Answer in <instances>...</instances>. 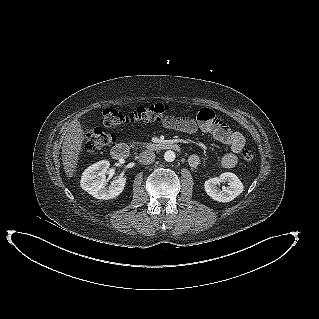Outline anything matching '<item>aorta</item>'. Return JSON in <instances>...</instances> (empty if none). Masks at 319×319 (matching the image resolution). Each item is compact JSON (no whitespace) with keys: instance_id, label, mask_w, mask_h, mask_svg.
<instances>
[{"instance_id":"1","label":"aorta","mask_w":319,"mask_h":319,"mask_svg":"<svg viewBox=\"0 0 319 319\" xmlns=\"http://www.w3.org/2000/svg\"><path fill=\"white\" fill-rule=\"evenodd\" d=\"M176 158V154L175 152L168 150L164 153V159L167 162H173Z\"/></svg>"}]
</instances>
